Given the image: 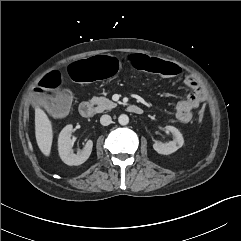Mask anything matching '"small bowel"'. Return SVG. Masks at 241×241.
I'll use <instances>...</instances> for the list:
<instances>
[{"instance_id":"c3829d8e","label":"small bowel","mask_w":241,"mask_h":241,"mask_svg":"<svg viewBox=\"0 0 241 241\" xmlns=\"http://www.w3.org/2000/svg\"><path fill=\"white\" fill-rule=\"evenodd\" d=\"M184 82L192 89V92L185 99L178 101L176 105V118L180 123L187 124L192 119V110L204 102L206 92L193 75H185Z\"/></svg>"}]
</instances>
